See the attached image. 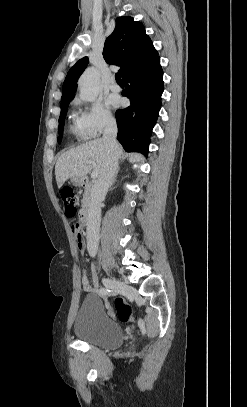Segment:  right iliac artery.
Returning <instances> with one entry per match:
<instances>
[{
    "label": "right iliac artery",
    "mask_w": 247,
    "mask_h": 407,
    "mask_svg": "<svg viewBox=\"0 0 247 407\" xmlns=\"http://www.w3.org/2000/svg\"><path fill=\"white\" fill-rule=\"evenodd\" d=\"M112 290L109 287H101L99 289V294L102 296L111 295Z\"/></svg>",
    "instance_id": "82829eb1"
}]
</instances>
